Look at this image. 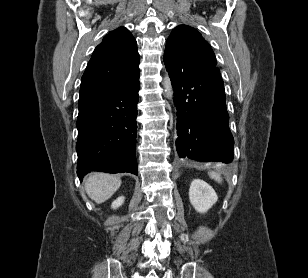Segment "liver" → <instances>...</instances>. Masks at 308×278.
I'll return each mask as SVG.
<instances>
[{
    "label": "liver",
    "instance_id": "obj_1",
    "mask_svg": "<svg viewBox=\"0 0 308 278\" xmlns=\"http://www.w3.org/2000/svg\"><path fill=\"white\" fill-rule=\"evenodd\" d=\"M120 186V178L101 172L92 173L85 180L86 192L97 204L108 200Z\"/></svg>",
    "mask_w": 308,
    "mask_h": 278
}]
</instances>
